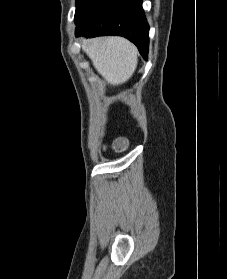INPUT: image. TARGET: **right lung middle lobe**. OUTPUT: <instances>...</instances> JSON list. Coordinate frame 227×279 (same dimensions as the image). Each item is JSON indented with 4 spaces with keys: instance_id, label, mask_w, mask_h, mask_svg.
<instances>
[{
    "instance_id": "dd1d6c3e",
    "label": "right lung middle lobe",
    "mask_w": 227,
    "mask_h": 279,
    "mask_svg": "<svg viewBox=\"0 0 227 279\" xmlns=\"http://www.w3.org/2000/svg\"><path fill=\"white\" fill-rule=\"evenodd\" d=\"M91 0H76L75 21L80 17Z\"/></svg>"
}]
</instances>
